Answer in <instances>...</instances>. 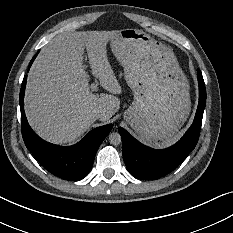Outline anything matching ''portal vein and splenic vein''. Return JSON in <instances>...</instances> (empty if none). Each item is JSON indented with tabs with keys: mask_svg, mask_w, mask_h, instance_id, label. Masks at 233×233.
Here are the masks:
<instances>
[{
	"mask_svg": "<svg viewBox=\"0 0 233 233\" xmlns=\"http://www.w3.org/2000/svg\"><path fill=\"white\" fill-rule=\"evenodd\" d=\"M91 85H93V86L90 88V90H91V91H96V90H97V87L95 86V84H91Z\"/></svg>",
	"mask_w": 233,
	"mask_h": 233,
	"instance_id": "portal-vein-and-splenic-vein-1",
	"label": "portal vein and splenic vein"
}]
</instances>
